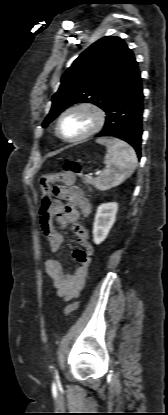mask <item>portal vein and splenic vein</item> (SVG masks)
Wrapping results in <instances>:
<instances>
[{
  "label": "portal vein and splenic vein",
  "mask_w": 168,
  "mask_h": 415,
  "mask_svg": "<svg viewBox=\"0 0 168 415\" xmlns=\"http://www.w3.org/2000/svg\"><path fill=\"white\" fill-rule=\"evenodd\" d=\"M99 173H100V171H96L94 174H95V175H98Z\"/></svg>",
  "instance_id": "portal-vein-and-splenic-vein-1"
}]
</instances>
